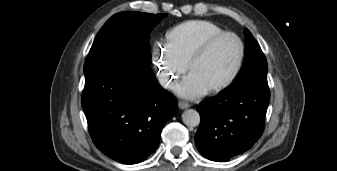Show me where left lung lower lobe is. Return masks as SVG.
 <instances>
[{"mask_svg":"<svg viewBox=\"0 0 337 171\" xmlns=\"http://www.w3.org/2000/svg\"><path fill=\"white\" fill-rule=\"evenodd\" d=\"M269 101L268 85L253 83L201 102L198 151L209 160L226 162L250 149L263 133Z\"/></svg>","mask_w":337,"mask_h":171,"instance_id":"left-lung-lower-lobe-1","label":"left lung lower lobe"}]
</instances>
